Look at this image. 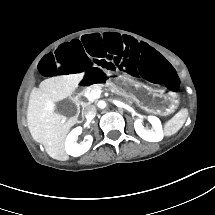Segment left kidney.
I'll return each mask as SVG.
<instances>
[{
	"label": "left kidney",
	"mask_w": 215,
	"mask_h": 215,
	"mask_svg": "<svg viewBox=\"0 0 215 215\" xmlns=\"http://www.w3.org/2000/svg\"><path fill=\"white\" fill-rule=\"evenodd\" d=\"M149 122L153 125L155 131L145 129L140 120L135 121L134 127L136 133L144 140L149 142H159L164 138V132L161 120L154 115L148 116Z\"/></svg>",
	"instance_id": "1"
}]
</instances>
